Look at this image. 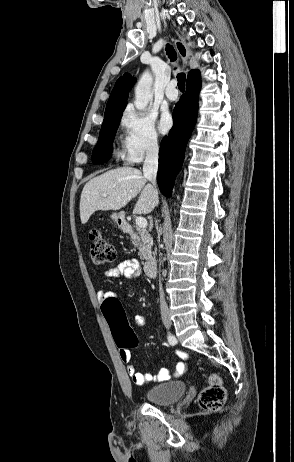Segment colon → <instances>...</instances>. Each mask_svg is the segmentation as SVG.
Segmentation results:
<instances>
[{
    "label": "colon",
    "instance_id": "1",
    "mask_svg": "<svg viewBox=\"0 0 294 462\" xmlns=\"http://www.w3.org/2000/svg\"><path fill=\"white\" fill-rule=\"evenodd\" d=\"M90 253L92 262L97 266L111 265L116 259V252L112 245L100 234L93 230L90 235ZM102 312L108 322L116 345L120 349H131L138 345V339L128 324L124 309L120 301L113 295L102 302ZM226 400V390L217 375H210L209 385L199 396L200 406L207 411L219 410Z\"/></svg>",
    "mask_w": 294,
    "mask_h": 462
}]
</instances>
